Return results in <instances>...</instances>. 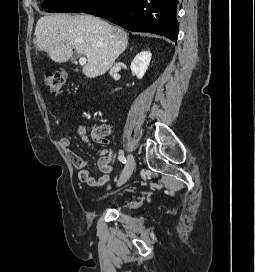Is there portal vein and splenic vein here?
<instances>
[{"label": "portal vein and splenic vein", "mask_w": 255, "mask_h": 272, "mask_svg": "<svg viewBox=\"0 0 255 272\" xmlns=\"http://www.w3.org/2000/svg\"><path fill=\"white\" fill-rule=\"evenodd\" d=\"M79 63H80V65H85L86 64V58L85 57H80V59H79Z\"/></svg>", "instance_id": "18ae733b"}]
</instances>
